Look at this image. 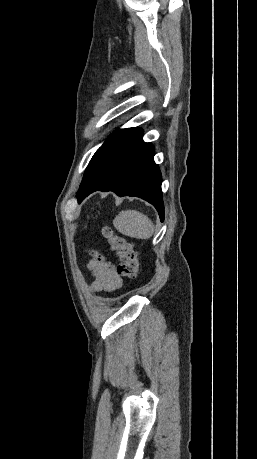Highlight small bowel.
<instances>
[{
    "label": "small bowel",
    "mask_w": 257,
    "mask_h": 459,
    "mask_svg": "<svg viewBox=\"0 0 257 459\" xmlns=\"http://www.w3.org/2000/svg\"><path fill=\"white\" fill-rule=\"evenodd\" d=\"M93 258L87 267L91 272V290L95 292H114L121 288L122 280L114 266L100 254L92 253Z\"/></svg>",
    "instance_id": "obj_1"
}]
</instances>
